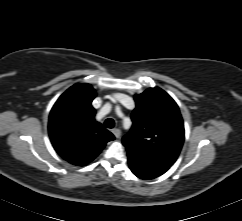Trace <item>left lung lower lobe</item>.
I'll list each match as a JSON object with an SVG mask.
<instances>
[{"label": "left lung lower lobe", "mask_w": 242, "mask_h": 221, "mask_svg": "<svg viewBox=\"0 0 242 221\" xmlns=\"http://www.w3.org/2000/svg\"><path fill=\"white\" fill-rule=\"evenodd\" d=\"M129 167L141 179H153L165 173L170 166L128 153Z\"/></svg>", "instance_id": "0a47b994"}]
</instances>
